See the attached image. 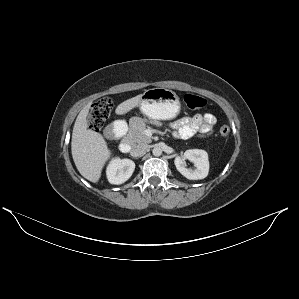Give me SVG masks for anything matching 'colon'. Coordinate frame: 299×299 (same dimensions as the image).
I'll use <instances>...</instances> for the list:
<instances>
[{"mask_svg": "<svg viewBox=\"0 0 299 299\" xmlns=\"http://www.w3.org/2000/svg\"><path fill=\"white\" fill-rule=\"evenodd\" d=\"M184 103L187 108L191 110L202 109L206 105V100L196 94L187 93L184 95ZM113 108V102L109 97H103L99 99L92 107L88 117V125L90 130L98 132L103 127L105 121L110 116ZM222 136H228L230 128L227 125H223L219 130Z\"/></svg>", "mask_w": 299, "mask_h": 299, "instance_id": "colon-1", "label": "colon"}]
</instances>
